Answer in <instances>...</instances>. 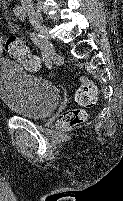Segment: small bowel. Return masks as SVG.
<instances>
[{
  "instance_id": "c3829d8e",
  "label": "small bowel",
  "mask_w": 123,
  "mask_h": 201,
  "mask_svg": "<svg viewBox=\"0 0 123 201\" xmlns=\"http://www.w3.org/2000/svg\"><path fill=\"white\" fill-rule=\"evenodd\" d=\"M6 27L10 33L17 32V25L12 21H8L6 24ZM3 41H4V36H3L2 32H0V56H2L3 52L5 51L4 47H3ZM37 59L39 60V58H37ZM39 62H40V60H39Z\"/></svg>"
}]
</instances>
